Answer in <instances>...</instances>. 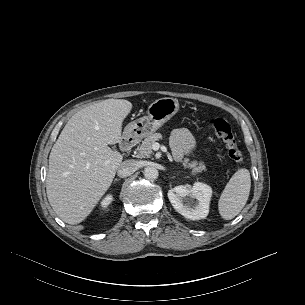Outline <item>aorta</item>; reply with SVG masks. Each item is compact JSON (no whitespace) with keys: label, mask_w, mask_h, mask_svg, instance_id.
<instances>
[{"label":"aorta","mask_w":305,"mask_h":305,"mask_svg":"<svg viewBox=\"0 0 305 305\" xmlns=\"http://www.w3.org/2000/svg\"><path fill=\"white\" fill-rule=\"evenodd\" d=\"M143 173L148 180H155L158 177V170L154 167H146Z\"/></svg>","instance_id":"aorta-1"}]
</instances>
